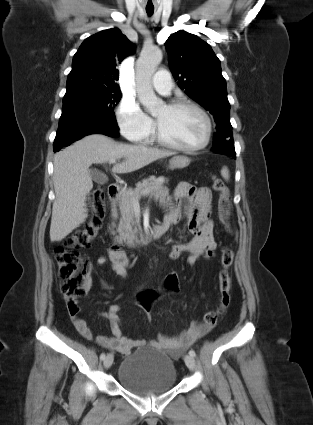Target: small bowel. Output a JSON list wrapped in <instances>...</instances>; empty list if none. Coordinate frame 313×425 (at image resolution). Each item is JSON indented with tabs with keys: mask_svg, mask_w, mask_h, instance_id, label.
Listing matches in <instances>:
<instances>
[{
	"mask_svg": "<svg viewBox=\"0 0 313 425\" xmlns=\"http://www.w3.org/2000/svg\"><path fill=\"white\" fill-rule=\"evenodd\" d=\"M211 199V191L206 187L196 188L187 182H180L177 185L170 212L165 216L162 226L167 230L170 226L179 223L185 218L193 238L186 243L172 245L169 253V257L172 260L179 259L183 253L187 252L189 254L187 258L188 264L194 265L205 254L208 248H215L213 222L210 219ZM182 200L186 201L184 209H182ZM96 262L99 265L108 264L121 277H126L127 275L128 259L121 250L112 248L108 251L107 256H99ZM87 289H89V284L87 285ZM67 309L78 333L85 339H93L91 328L85 320L79 317L80 309L78 305L73 309L67 304ZM119 314L120 308L117 305H112L103 314V317L110 322L112 335H99L96 337V342L104 348L127 355L133 348L145 345L147 342L145 340H134L125 337L121 329ZM210 329L211 327L205 323L198 322L176 337L161 334L148 343L154 347L166 348L173 356L177 357L181 351L191 346Z\"/></svg>",
	"mask_w": 313,
	"mask_h": 425,
	"instance_id": "small-bowel-1",
	"label": "small bowel"
}]
</instances>
